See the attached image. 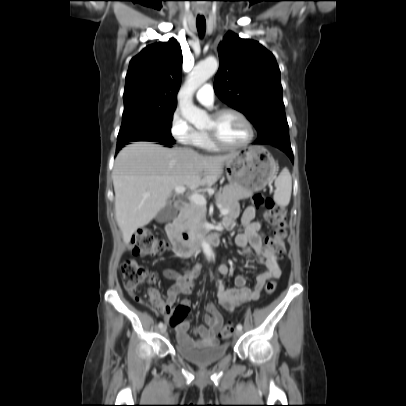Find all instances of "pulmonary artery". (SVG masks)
Listing matches in <instances>:
<instances>
[{"instance_id": "1", "label": "pulmonary artery", "mask_w": 406, "mask_h": 406, "mask_svg": "<svg viewBox=\"0 0 406 406\" xmlns=\"http://www.w3.org/2000/svg\"><path fill=\"white\" fill-rule=\"evenodd\" d=\"M197 100L207 106H210L214 102L213 86L209 83L201 86L196 93Z\"/></svg>"}]
</instances>
